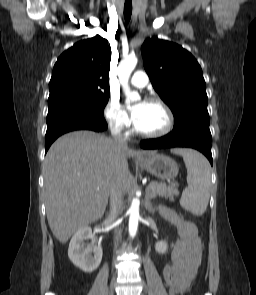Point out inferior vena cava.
<instances>
[{"label":"inferior vena cava","mask_w":256,"mask_h":295,"mask_svg":"<svg viewBox=\"0 0 256 295\" xmlns=\"http://www.w3.org/2000/svg\"><path fill=\"white\" fill-rule=\"evenodd\" d=\"M111 134L120 148L127 147L126 139L122 135V126H111ZM124 190L118 178H114L110 185V217L114 221L121 212ZM121 232L115 231L114 249L117 250Z\"/></svg>","instance_id":"obj_1"}]
</instances>
